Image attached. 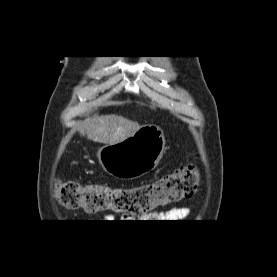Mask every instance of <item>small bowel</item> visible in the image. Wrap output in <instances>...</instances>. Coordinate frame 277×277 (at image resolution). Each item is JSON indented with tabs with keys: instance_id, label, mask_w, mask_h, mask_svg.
<instances>
[{
	"instance_id": "small-bowel-1",
	"label": "small bowel",
	"mask_w": 277,
	"mask_h": 277,
	"mask_svg": "<svg viewBox=\"0 0 277 277\" xmlns=\"http://www.w3.org/2000/svg\"><path fill=\"white\" fill-rule=\"evenodd\" d=\"M189 208L187 207H174L165 212H154L149 215L146 220L149 222H180L189 215ZM111 216H106V219H110ZM125 220H129L128 216L124 217Z\"/></svg>"
}]
</instances>
